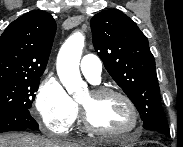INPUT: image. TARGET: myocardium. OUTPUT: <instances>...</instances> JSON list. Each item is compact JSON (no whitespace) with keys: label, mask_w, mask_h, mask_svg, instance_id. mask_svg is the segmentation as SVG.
<instances>
[{"label":"myocardium","mask_w":183,"mask_h":147,"mask_svg":"<svg viewBox=\"0 0 183 147\" xmlns=\"http://www.w3.org/2000/svg\"><path fill=\"white\" fill-rule=\"evenodd\" d=\"M90 93L95 98H100V97L109 96V95L120 97L127 104L128 108L132 114L133 124L129 129L124 130V131L101 129V128L97 127L91 120L89 110L83 104L80 103L81 121H82L83 127L88 132L96 134V135L120 137V136L131 135L139 129V127H140L139 112L137 110L136 105L134 104L132 99L127 94H125L124 92H122L120 90L108 88V87L94 88L90 91Z\"/></svg>","instance_id":"obj_1"}]
</instances>
